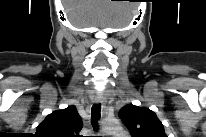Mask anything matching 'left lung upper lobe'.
<instances>
[{
  "mask_svg": "<svg viewBox=\"0 0 206 137\" xmlns=\"http://www.w3.org/2000/svg\"><path fill=\"white\" fill-rule=\"evenodd\" d=\"M119 117L132 137H167L163 124L150 109L126 105L119 111Z\"/></svg>",
  "mask_w": 206,
  "mask_h": 137,
  "instance_id": "left-lung-upper-lobe-1",
  "label": "left lung upper lobe"
}]
</instances>
